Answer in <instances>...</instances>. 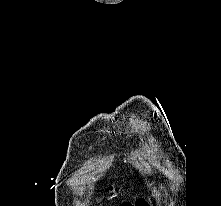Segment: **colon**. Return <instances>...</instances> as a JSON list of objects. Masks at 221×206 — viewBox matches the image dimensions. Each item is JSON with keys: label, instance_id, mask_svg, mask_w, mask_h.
I'll return each mask as SVG.
<instances>
[{"label": "colon", "instance_id": "colon-1", "mask_svg": "<svg viewBox=\"0 0 221 206\" xmlns=\"http://www.w3.org/2000/svg\"><path fill=\"white\" fill-rule=\"evenodd\" d=\"M120 206H148V205H147L146 199L139 198L138 200H136L134 204L125 202V203H122Z\"/></svg>", "mask_w": 221, "mask_h": 206}]
</instances>
